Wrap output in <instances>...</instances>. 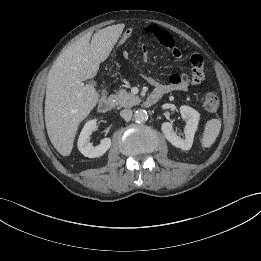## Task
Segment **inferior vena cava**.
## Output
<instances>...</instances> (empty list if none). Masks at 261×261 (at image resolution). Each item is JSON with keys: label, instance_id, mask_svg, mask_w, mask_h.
<instances>
[{"label": "inferior vena cava", "instance_id": "1", "mask_svg": "<svg viewBox=\"0 0 261 261\" xmlns=\"http://www.w3.org/2000/svg\"><path fill=\"white\" fill-rule=\"evenodd\" d=\"M132 115H133V112L130 109H124V110L120 111V116L125 121H129L131 119Z\"/></svg>", "mask_w": 261, "mask_h": 261}]
</instances>
